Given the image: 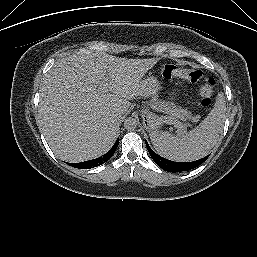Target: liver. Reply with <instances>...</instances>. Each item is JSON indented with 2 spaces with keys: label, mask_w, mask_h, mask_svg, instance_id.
<instances>
[{
  "label": "liver",
  "mask_w": 257,
  "mask_h": 257,
  "mask_svg": "<svg viewBox=\"0 0 257 257\" xmlns=\"http://www.w3.org/2000/svg\"><path fill=\"white\" fill-rule=\"evenodd\" d=\"M158 61L109 54H73L55 62L40 87L43 134L61 160L82 162L108 152L117 137L113 114L142 95V78ZM106 83L111 93H99Z\"/></svg>",
  "instance_id": "1"
}]
</instances>
